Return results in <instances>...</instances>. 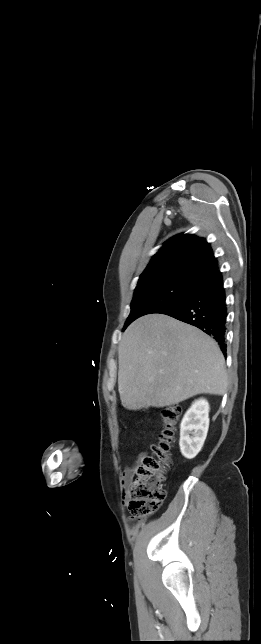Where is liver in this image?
Here are the masks:
<instances>
[{
  "label": "liver",
  "mask_w": 261,
  "mask_h": 644,
  "mask_svg": "<svg viewBox=\"0 0 261 644\" xmlns=\"http://www.w3.org/2000/svg\"><path fill=\"white\" fill-rule=\"evenodd\" d=\"M123 407L162 408L197 394H225L228 376L218 344L196 327L163 314L138 318L119 343Z\"/></svg>",
  "instance_id": "1"
}]
</instances>
